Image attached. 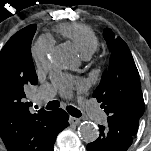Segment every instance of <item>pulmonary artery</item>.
<instances>
[{
  "instance_id": "1",
  "label": "pulmonary artery",
  "mask_w": 151,
  "mask_h": 151,
  "mask_svg": "<svg viewBox=\"0 0 151 151\" xmlns=\"http://www.w3.org/2000/svg\"><path fill=\"white\" fill-rule=\"evenodd\" d=\"M84 58L88 59L89 56H86ZM53 95H54V88L49 85H45L40 89L37 95V99L40 101H48L53 97ZM84 109L87 112L88 116L97 123H101L105 119L104 113L98 110L97 108H94L90 105H85Z\"/></svg>"
}]
</instances>
